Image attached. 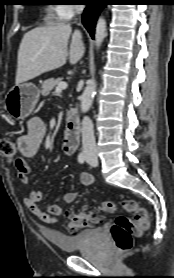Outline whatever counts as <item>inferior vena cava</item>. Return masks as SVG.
<instances>
[{"label":"inferior vena cava","mask_w":174,"mask_h":278,"mask_svg":"<svg viewBox=\"0 0 174 278\" xmlns=\"http://www.w3.org/2000/svg\"><path fill=\"white\" fill-rule=\"evenodd\" d=\"M82 10H83L82 5L76 6V12L78 14H80ZM82 147H83V152L87 155L97 154L93 123L88 117H84L82 121Z\"/></svg>","instance_id":"1"}]
</instances>
